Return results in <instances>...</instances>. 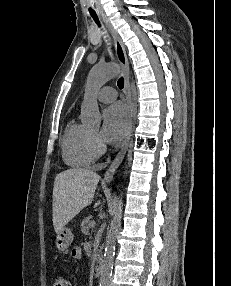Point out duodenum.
I'll return each instance as SVG.
<instances>
[{
  "mask_svg": "<svg viewBox=\"0 0 231 286\" xmlns=\"http://www.w3.org/2000/svg\"><path fill=\"white\" fill-rule=\"evenodd\" d=\"M102 269H103V261L100 259L97 261L95 265V270H94L95 277L99 278L101 276Z\"/></svg>",
  "mask_w": 231,
  "mask_h": 286,
  "instance_id": "obj_1",
  "label": "duodenum"
}]
</instances>
